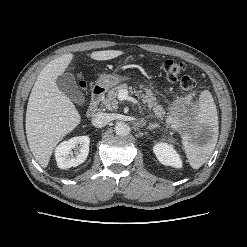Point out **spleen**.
<instances>
[{"label": "spleen", "mask_w": 247, "mask_h": 247, "mask_svg": "<svg viewBox=\"0 0 247 247\" xmlns=\"http://www.w3.org/2000/svg\"><path fill=\"white\" fill-rule=\"evenodd\" d=\"M219 121L216 105L209 91L204 90L199 98V108L194 120L192 133L183 135L182 143L184 150L193 169H199L211 156L215 149L218 133ZM207 128L211 137L206 143L197 144L193 141V135Z\"/></svg>", "instance_id": "obj_1"}]
</instances>
